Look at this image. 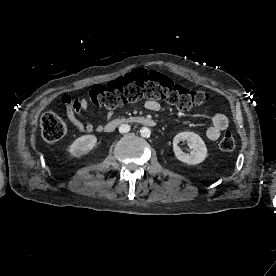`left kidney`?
I'll return each instance as SVG.
<instances>
[{
  "label": "left kidney",
  "mask_w": 276,
  "mask_h": 276,
  "mask_svg": "<svg viewBox=\"0 0 276 276\" xmlns=\"http://www.w3.org/2000/svg\"><path fill=\"white\" fill-rule=\"evenodd\" d=\"M187 141L189 147L192 149L191 153H184L178 143L180 141ZM173 150L178 160L189 165H197L203 162L207 156V148L203 139L193 132L178 133L173 139Z\"/></svg>",
  "instance_id": "left-kidney-1"
}]
</instances>
